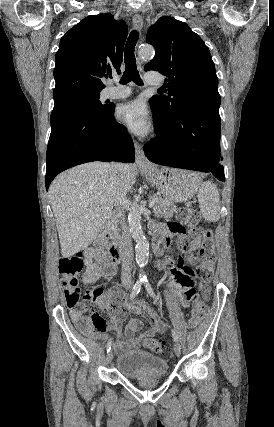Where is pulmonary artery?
Returning a JSON list of instances; mask_svg holds the SVG:
<instances>
[{"label":"pulmonary artery","mask_w":274,"mask_h":427,"mask_svg":"<svg viewBox=\"0 0 274 427\" xmlns=\"http://www.w3.org/2000/svg\"><path fill=\"white\" fill-rule=\"evenodd\" d=\"M147 83L150 85L159 83V78L150 76L147 78ZM131 94V89L125 85H116L107 87L105 90V98L109 100H117L128 97Z\"/></svg>","instance_id":"e3ab8cb5"}]
</instances>
